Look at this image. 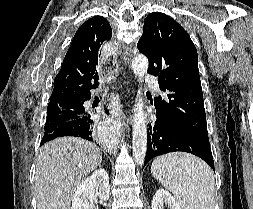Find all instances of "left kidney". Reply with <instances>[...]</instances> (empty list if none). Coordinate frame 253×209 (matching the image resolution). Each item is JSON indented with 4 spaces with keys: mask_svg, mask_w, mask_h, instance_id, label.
I'll return each mask as SVG.
<instances>
[{
    "mask_svg": "<svg viewBox=\"0 0 253 209\" xmlns=\"http://www.w3.org/2000/svg\"><path fill=\"white\" fill-rule=\"evenodd\" d=\"M164 204L168 205L170 209H182L175 198L166 190L159 189L156 191L152 200V209H163Z\"/></svg>",
    "mask_w": 253,
    "mask_h": 209,
    "instance_id": "1",
    "label": "left kidney"
}]
</instances>
